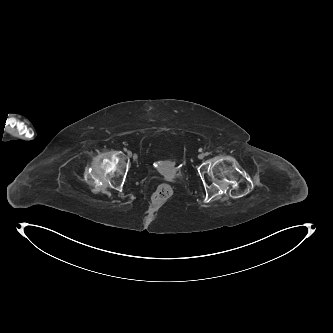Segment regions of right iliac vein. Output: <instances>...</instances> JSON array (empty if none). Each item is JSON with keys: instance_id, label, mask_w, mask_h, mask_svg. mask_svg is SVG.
<instances>
[{"instance_id": "1", "label": "right iliac vein", "mask_w": 333, "mask_h": 333, "mask_svg": "<svg viewBox=\"0 0 333 333\" xmlns=\"http://www.w3.org/2000/svg\"><path fill=\"white\" fill-rule=\"evenodd\" d=\"M127 154H128L129 157H132V152L131 151H128ZM137 159H138V156H137V154H135L134 155V160H137Z\"/></svg>"}]
</instances>
